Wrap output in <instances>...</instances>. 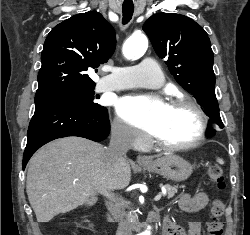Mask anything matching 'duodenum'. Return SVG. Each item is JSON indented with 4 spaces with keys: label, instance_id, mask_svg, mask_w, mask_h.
Listing matches in <instances>:
<instances>
[{
    "label": "duodenum",
    "instance_id": "duodenum-1",
    "mask_svg": "<svg viewBox=\"0 0 250 235\" xmlns=\"http://www.w3.org/2000/svg\"><path fill=\"white\" fill-rule=\"evenodd\" d=\"M159 220V217L156 213H152L149 217H148V222L149 223H156Z\"/></svg>",
    "mask_w": 250,
    "mask_h": 235
}]
</instances>
